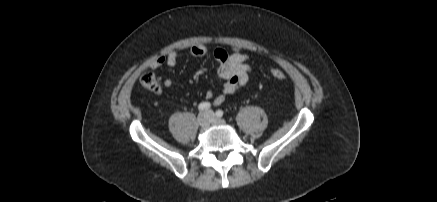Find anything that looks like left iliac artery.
I'll return each instance as SVG.
<instances>
[{
	"label": "left iliac artery",
	"instance_id": "obj_1",
	"mask_svg": "<svg viewBox=\"0 0 437 202\" xmlns=\"http://www.w3.org/2000/svg\"><path fill=\"white\" fill-rule=\"evenodd\" d=\"M223 114H224V113H223L222 110H217V111H216V116H217V117H222Z\"/></svg>",
	"mask_w": 437,
	"mask_h": 202
}]
</instances>
